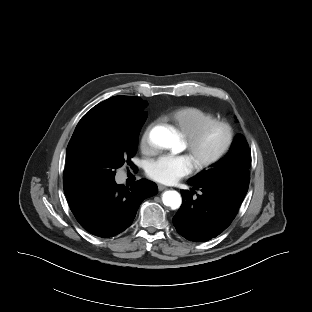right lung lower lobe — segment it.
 Masks as SVG:
<instances>
[{
	"label": "right lung lower lobe",
	"mask_w": 312,
	"mask_h": 312,
	"mask_svg": "<svg viewBox=\"0 0 312 312\" xmlns=\"http://www.w3.org/2000/svg\"><path fill=\"white\" fill-rule=\"evenodd\" d=\"M157 192L156 184L146 179H141L130 187L117 185L113 180L83 195L70 204V209L88 232L107 238L129 227L140 203Z\"/></svg>",
	"instance_id": "98d812e1"
}]
</instances>
